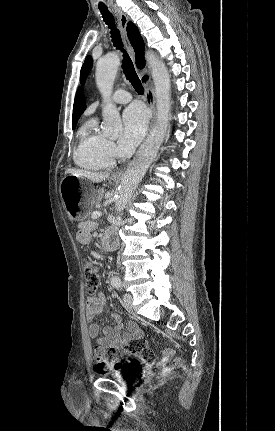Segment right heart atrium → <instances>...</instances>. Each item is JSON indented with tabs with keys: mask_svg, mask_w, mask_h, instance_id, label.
I'll use <instances>...</instances> for the list:
<instances>
[{
	"mask_svg": "<svg viewBox=\"0 0 275 431\" xmlns=\"http://www.w3.org/2000/svg\"><path fill=\"white\" fill-rule=\"evenodd\" d=\"M107 150L113 157L117 156L119 153L118 148L112 141L107 142Z\"/></svg>",
	"mask_w": 275,
	"mask_h": 431,
	"instance_id": "d8ad5b80",
	"label": "right heart atrium"
}]
</instances>
